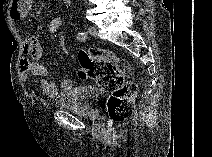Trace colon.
Instances as JSON below:
<instances>
[{
    "instance_id": "5ec220e1",
    "label": "colon",
    "mask_w": 212,
    "mask_h": 157,
    "mask_svg": "<svg viewBox=\"0 0 212 157\" xmlns=\"http://www.w3.org/2000/svg\"><path fill=\"white\" fill-rule=\"evenodd\" d=\"M81 79H93L109 93L108 115L121 124L133 113V99L137 83L131 80L133 68L129 62L110 50L103 48H82L78 51Z\"/></svg>"
}]
</instances>
